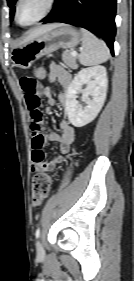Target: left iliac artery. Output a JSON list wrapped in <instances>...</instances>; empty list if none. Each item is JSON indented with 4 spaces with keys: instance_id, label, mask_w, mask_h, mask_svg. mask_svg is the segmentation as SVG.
<instances>
[{
    "instance_id": "obj_1",
    "label": "left iliac artery",
    "mask_w": 134,
    "mask_h": 281,
    "mask_svg": "<svg viewBox=\"0 0 134 281\" xmlns=\"http://www.w3.org/2000/svg\"><path fill=\"white\" fill-rule=\"evenodd\" d=\"M35 236H36V238H39V236H40V228H38L36 230Z\"/></svg>"
}]
</instances>
